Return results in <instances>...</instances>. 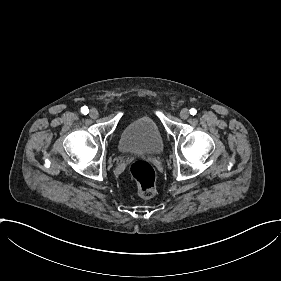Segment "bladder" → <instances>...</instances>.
<instances>
[{
    "instance_id": "31cf9c89",
    "label": "bladder",
    "mask_w": 281,
    "mask_h": 281,
    "mask_svg": "<svg viewBox=\"0 0 281 281\" xmlns=\"http://www.w3.org/2000/svg\"><path fill=\"white\" fill-rule=\"evenodd\" d=\"M119 146L123 152L156 155L163 150V139L156 122L145 115L123 128Z\"/></svg>"
}]
</instances>
